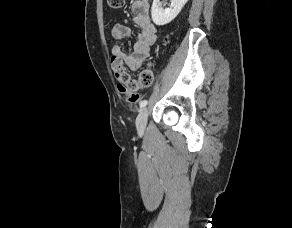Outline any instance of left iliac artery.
<instances>
[{"label": "left iliac artery", "instance_id": "left-iliac-artery-1", "mask_svg": "<svg viewBox=\"0 0 292 228\" xmlns=\"http://www.w3.org/2000/svg\"><path fill=\"white\" fill-rule=\"evenodd\" d=\"M148 101L147 100H143L140 102V108H143L147 105Z\"/></svg>", "mask_w": 292, "mask_h": 228}]
</instances>
